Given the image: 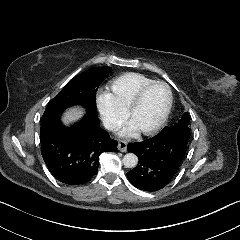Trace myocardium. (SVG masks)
<instances>
[{
  "label": "myocardium",
  "instance_id": "f54148a6",
  "mask_svg": "<svg viewBox=\"0 0 240 240\" xmlns=\"http://www.w3.org/2000/svg\"><path fill=\"white\" fill-rule=\"evenodd\" d=\"M155 85L163 86L166 89L167 98H166V102H165V105L163 108V112H162L160 118L158 119V121L150 128L140 130V133L145 136H150V135L155 134L164 125V123L167 120V117L169 115V112H170V109L172 106V100H173L172 91H171L169 85L162 81H151L150 83L145 84L138 90L133 101L131 102L129 107L125 110V119H126V121L130 122L132 115L140 107L146 92L152 86H155Z\"/></svg>",
  "mask_w": 240,
  "mask_h": 240
}]
</instances>
